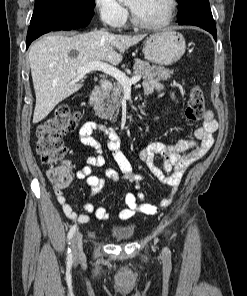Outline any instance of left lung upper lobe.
Listing matches in <instances>:
<instances>
[{
	"label": "left lung upper lobe",
	"instance_id": "5c2ea615",
	"mask_svg": "<svg viewBox=\"0 0 247 296\" xmlns=\"http://www.w3.org/2000/svg\"><path fill=\"white\" fill-rule=\"evenodd\" d=\"M179 3L178 18L192 12L199 5H209V0H177Z\"/></svg>",
	"mask_w": 247,
	"mask_h": 296
}]
</instances>
